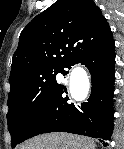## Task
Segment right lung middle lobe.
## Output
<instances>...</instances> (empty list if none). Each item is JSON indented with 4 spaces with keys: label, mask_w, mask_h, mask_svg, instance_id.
I'll use <instances>...</instances> for the list:
<instances>
[{
    "label": "right lung middle lobe",
    "mask_w": 124,
    "mask_h": 149,
    "mask_svg": "<svg viewBox=\"0 0 124 149\" xmlns=\"http://www.w3.org/2000/svg\"><path fill=\"white\" fill-rule=\"evenodd\" d=\"M64 68H48L30 74L11 88L8 96V130L11 146L20 141L24 130L43 101L57 85L56 75Z\"/></svg>",
    "instance_id": "1"
}]
</instances>
